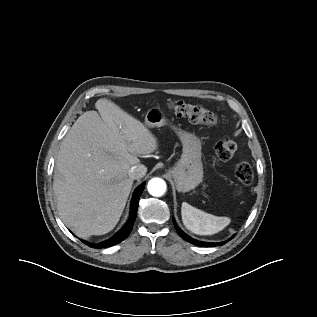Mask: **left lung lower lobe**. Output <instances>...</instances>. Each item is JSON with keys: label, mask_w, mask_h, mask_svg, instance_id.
Returning <instances> with one entry per match:
<instances>
[{"label": "left lung lower lobe", "mask_w": 317, "mask_h": 317, "mask_svg": "<svg viewBox=\"0 0 317 317\" xmlns=\"http://www.w3.org/2000/svg\"><path fill=\"white\" fill-rule=\"evenodd\" d=\"M174 226L176 228V231L182 237L184 240L188 241L191 244L197 245V246H203V247H214V246H221L224 245L227 241L220 242V243H209V242H202L198 241L196 239L191 238L187 234H185L176 224V222L173 220ZM235 235H233L229 240H231Z\"/></svg>", "instance_id": "0a47b994"}]
</instances>
